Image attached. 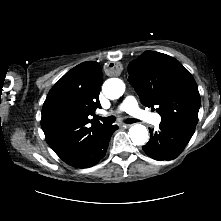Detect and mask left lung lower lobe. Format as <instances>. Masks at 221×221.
<instances>
[{"label": "left lung lower lobe", "mask_w": 221, "mask_h": 221, "mask_svg": "<svg viewBox=\"0 0 221 221\" xmlns=\"http://www.w3.org/2000/svg\"><path fill=\"white\" fill-rule=\"evenodd\" d=\"M196 124L191 122H161L158 132L149 129L150 140L143 146L144 152L158 161L175 159L190 141Z\"/></svg>", "instance_id": "1"}]
</instances>
